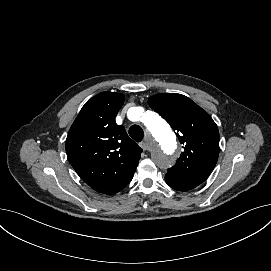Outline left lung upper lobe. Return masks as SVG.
Masks as SVG:
<instances>
[{
    "label": "left lung upper lobe",
    "instance_id": "obj_1",
    "mask_svg": "<svg viewBox=\"0 0 271 271\" xmlns=\"http://www.w3.org/2000/svg\"><path fill=\"white\" fill-rule=\"evenodd\" d=\"M149 106L176 132L184 152L166 174L203 183L219 155V131L210 115L188 97L176 93L151 96Z\"/></svg>",
    "mask_w": 271,
    "mask_h": 271
}]
</instances>
